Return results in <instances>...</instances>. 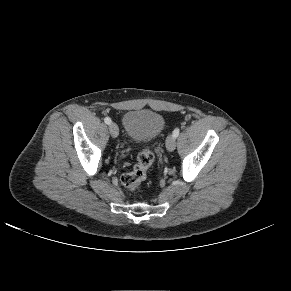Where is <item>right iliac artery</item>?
I'll return each instance as SVG.
<instances>
[{"mask_svg":"<svg viewBox=\"0 0 291 291\" xmlns=\"http://www.w3.org/2000/svg\"><path fill=\"white\" fill-rule=\"evenodd\" d=\"M104 122L106 124H110L111 123V119L109 117L104 118Z\"/></svg>","mask_w":291,"mask_h":291,"instance_id":"right-iliac-artery-1","label":"right iliac artery"}]
</instances>
